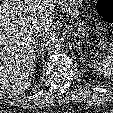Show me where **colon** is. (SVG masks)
Wrapping results in <instances>:
<instances>
[{
	"instance_id": "colon-1",
	"label": "colon",
	"mask_w": 113,
	"mask_h": 113,
	"mask_svg": "<svg viewBox=\"0 0 113 113\" xmlns=\"http://www.w3.org/2000/svg\"><path fill=\"white\" fill-rule=\"evenodd\" d=\"M96 10L102 19L113 23V0H98Z\"/></svg>"
}]
</instances>
